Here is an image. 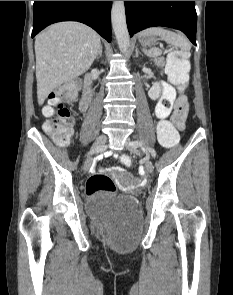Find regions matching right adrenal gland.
<instances>
[{
  "label": "right adrenal gland",
  "instance_id": "2a0ac1e0",
  "mask_svg": "<svg viewBox=\"0 0 233 295\" xmlns=\"http://www.w3.org/2000/svg\"><path fill=\"white\" fill-rule=\"evenodd\" d=\"M102 57V46L100 47V51L98 53V56L96 57V59H99Z\"/></svg>",
  "mask_w": 233,
  "mask_h": 295
}]
</instances>
